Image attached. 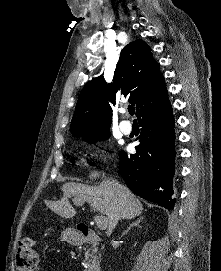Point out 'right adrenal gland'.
<instances>
[{"label":"right adrenal gland","mask_w":221,"mask_h":271,"mask_svg":"<svg viewBox=\"0 0 221 271\" xmlns=\"http://www.w3.org/2000/svg\"><path fill=\"white\" fill-rule=\"evenodd\" d=\"M142 219H144V217H137L136 221H132V223H129V227H128V229H125L124 233H126V231H129V229H131V227H133V225H139V223H141Z\"/></svg>","instance_id":"2a0ac1e0"}]
</instances>
